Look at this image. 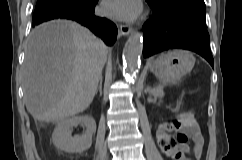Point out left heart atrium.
<instances>
[{
	"instance_id": "obj_1",
	"label": "left heart atrium",
	"mask_w": 242,
	"mask_h": 160,
	"mask_svg": "<svg viewBox=\"0 0 242 160\" xmlns=\"http://www.w3.org/2000/svg\"><path fill=\"white\" fill-rule=\"evenodd\" d=\"M140 0H105L102 4L103 12L111 18L131 20L141 11Z\"/></svg>"
}]
</instances>
